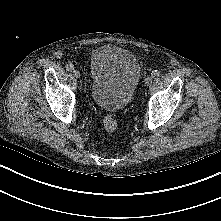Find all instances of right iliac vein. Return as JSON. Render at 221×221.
<instances>
[{"label":"right iliac vein","instance_id":"right-iliac-vein-1","mask_svg":"<svg viewBox=\"0 0 221 221\" xmlns=\"http://www.w3.org/2000/svg\"><path fill=\"white\" fill-rule=\"evenodd\" d=\"M72 73L75 78H80V72L78 70H74Z\"/></svg>","mask_w":221,"mask_h":221}]
</instances>
